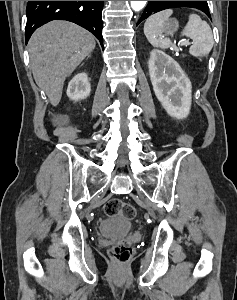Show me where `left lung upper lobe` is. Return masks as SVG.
I'll use <instances>...</instances> for the list:
<instances>
[{"mask_svg": "<svg viewBox=\"0 0 237 300\" xmlns=\"http://www.w3.org/2000/svg\"><path fill=\"white\" fill-rule=\"evenodd\" d=\"M178 7L197 8L203 11L211 19L207 1H149L141 18L138 20L137 25L153 13H157L161 10L169 8Z\"/></svg>", "mask_w": 237, "mask_h": 300, "instance_id": "1", "label": "left lung upper lobe"}]
</instances>
